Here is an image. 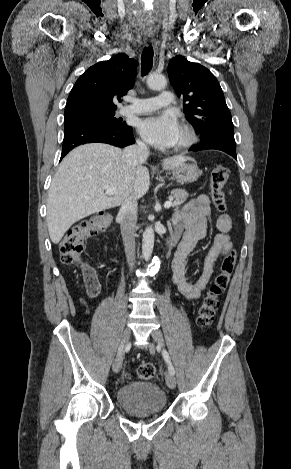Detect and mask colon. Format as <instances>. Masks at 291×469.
<instances>
[{"instance_id":"colon-1","label":"colon","mask_w":291,"mask_h":469,"mask_svg":"<svg viewBox=\"0 0 291 469\" xmlns=\"http://www.w3.org/2000/svg\"><path fill=\"white\" fill-rule=\"evenodd\" d=\"M229 177V168L222 164H218L213 168L210 177L209 187L211 200L217 212L223 217L227 216L224 188ZM109 222V214L100 212L90 219L82 221L70 228L60 243L59 250L61 261L67 265H78L80 263L84 241L104 230ZM236 260L237 253L233 249L228 251L224 256L220 271L215 276L199 307L197 324L200 327H208L213 323L215 314L219 308L220 297L228 287ZM82 271L84 277L90 279L93 277V271L88 266L83 265ZM88 294L90 297H95L97 295L96 289L91 288ZM137 374L141 379H151L155 374V367L152 363H143L138 367Z\"/></svg>"}]
</instances>
